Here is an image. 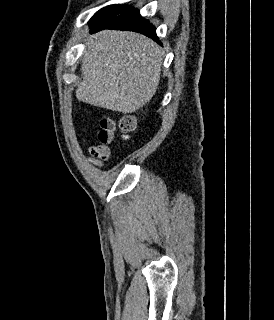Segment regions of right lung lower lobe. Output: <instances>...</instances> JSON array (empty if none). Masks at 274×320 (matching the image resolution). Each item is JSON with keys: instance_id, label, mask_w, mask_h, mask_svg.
<instances>
[{"instance_id": "obj_1", "label": "right lung lower lobe", "mask_w": 274, "mask_h": 320, "mask_svg": "<svg viewBox=\"0 0 274 320\" xmlns=\"http://www.w3.org/2000/svg\"><path fill=\"white\" fill-rule=\"evenodd\" d=\"M89 26L90 33L103 29L129 30L144 34L160 43L155 27L148 20L142 18L139 11L130 5H119Z\"/></svg>"}]
</instances>
